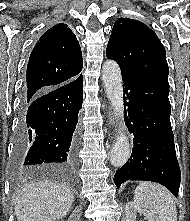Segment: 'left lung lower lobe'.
<instances>
[{
  "label": "left lung lower lobe",
  "instance_id": "left-lung-lower-lobe-1",
  "mask_svg": "<svg viewBox=\"0 0 190 221\" xmlns=\"http://www.w3.org/2000/svg\"><path fill=\"white\" fill-rule=\"evenodd\" d=\"M122 79L128 106L125 124L134 136V147L114 183L119 188L127 180L153 181L178 197L181 173L170 123L169 87L126 75Z\"/></svg>",
  "mask_w": 190,
  "mask_h": 221
}]
</instances>
